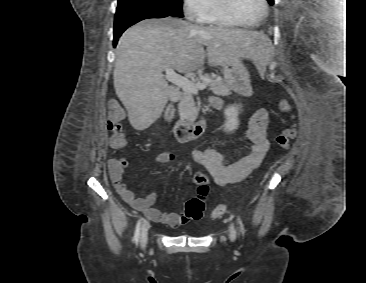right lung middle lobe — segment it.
Returning <instances> with one entry per match:
<instances>
[{"mask_svg": "<svg viewBox=\"0 0 366 283\" xmlns=\"http://www.w3.org/2000/svg\"><path fill=\"white\" fill-rule=\"evenodd\" d=\"M158 10L170 16L183 17L182 0H118L117 13Z\"/></svg>", "mask_w": 366, "mask_h": 283, "instance_id": "right-lung-middle-lobe-1", "label": "right lung middle lobe"}]
</instances>
